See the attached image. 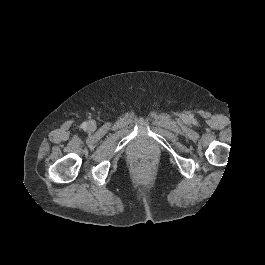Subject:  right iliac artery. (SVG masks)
I'll list each match as a JSON object with an SVG mask.
<instances>
[{
    "instance_id": "right-iliac-artery-1",
    "label": "right iliac artery",
    "mask_w": 265,
    "mask_h": 265,
    "mask_svg": "<svg viewBox=\"0 0 265 265\" xmlns=\"http://www.w3.org/2000/svg\"><path fill=\"white\" fill-rule=\"evenodd\" d=\"M87 127V123L86 122H83L82 123V128L85 129Z\"/></svg>"
}]
</instances>
